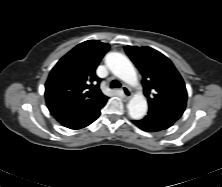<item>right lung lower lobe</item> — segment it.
<instances>
[{
	"mask_svg": "<svg viewBox=\"0 0 222 187\" xmlns=\"http://www.w3.org/2000/svg\"><path fill=\"white\" fill-rule=\"evenodd\" d=\"M104 105L87 110H72L52 106H48V108L50 113L63 126L70 129H81L94 122L100 116V110Z\"/></svg>",
	"mask_w": 222,
	"mask_h": 187,
	"instance_id": "1",
	"label": "right lung lower lobe"
}]
</instances>
